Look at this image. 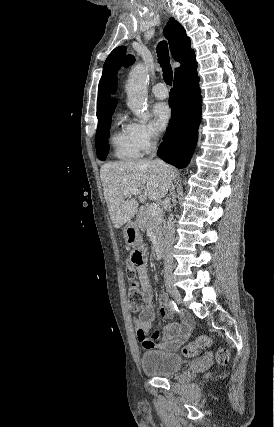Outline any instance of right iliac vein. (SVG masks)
Wrapping results in <instances>:
<instances>
[{"instance_id":"obj_1","label":"right iliac vein","mask_w":274,"mask_h":427,"mask_svg":"<svg viewBox=\"0 0 274 427\" xmlns=\"http://www.w3.org/2000/svg\"><path fill=\"white\" fill-rule=\"evenodd\" d=\"M166 287L168 292L172 295V297L174 298V300L178 303V304H182V296L179 292V290L173 286L172 282H167L166 283Z\"/></svg>"}]
</instances>
